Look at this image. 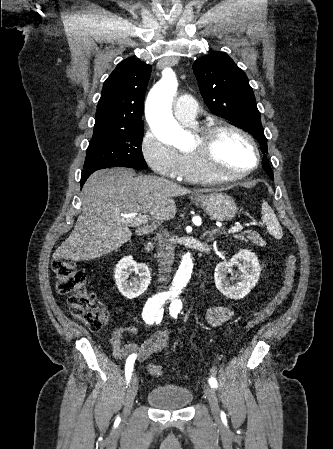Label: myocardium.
I'll use <instances>...</instances> for the list:
<instances>
[{
  "label": "myocardium",
  "instance_id": "myocardium-1",
  "mask_svg": "<svg viewBox=\"0 0 333 449\" xmlns=\"http://www.w3.org/2000/svg\"><path fill=\"white\" fill-rule=\"evenodd\" d=\"M225 132H232L242 136L254 150L255 163L247 170L236 174H226L214 168L213 156L215 144L219 136ZM197 141L198 145L191 153L197 159L204 174L215 182L240 181L251 175L260 164L261 154L257 142L251 134L238 126L232 124L207 125L199 131Z\"/></svg>",
  "mask_w": 333,
  "mask_h": 449
}]
</instances>
